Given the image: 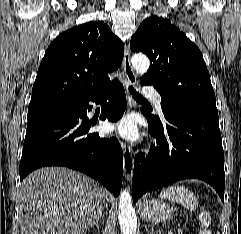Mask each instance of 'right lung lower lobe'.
Masks as SVG:
<instances>
[{
  "label": "right lung lower lobe",
  "mask_w": 241,
  "mask_h": 234,
  "mask_svg": "<svg viewBox=\"0 0 241 234\" xmlns=\"http://www.w3.org/2000/svg\"><path fill=\"white\" fill-rule=\"evenodd\" d=\"M108 100V102H107ZM102 104L100 119L116 122L126 109L123 85L115 80L98 95L72 106L28 116L20 162V180L44 166H66L81 171L117 197L123 175V152L117 138L90 133L94 125L88 103Z\"/></svg>",
  "instance_id": "98d812e1"
}]
</instances>
